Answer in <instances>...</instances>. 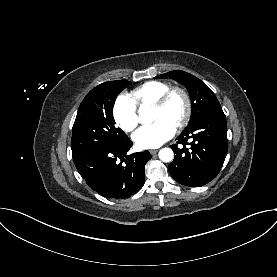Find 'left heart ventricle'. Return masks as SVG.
I'll return each instance as SVG.
<instances>
[{
    "label": "left heart ventricle",
    "mask_w": 277,
    "mask_h": 277,
    "mask_svg": "<svg viewBox=\"0 0 277 277\" xmlns=\"http://www.w3.org/2000/svg\"><path fill=\"white\" fill-rule=\"evenodd\" d=\"M184 100L180 95H174L164 109H152V120L164 119L177 124L184 112Z\"/></svg>",
    "instance_id": "left-heart-ventricle-1"
}]
</instances>
